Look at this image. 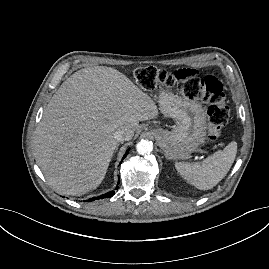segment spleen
Instances as JSON below:
<instances>
[{"label":"spleen","instance_id":"obj_1","mask_svg":"<svg viewBox=\"0 0 269 269\" xmlns=\"http://www.w3.org/2000/svg\"><path fill=\"white\" fill-rule=\"evenodd\" d=\"M237 154V143L232 141L223 150H218L201 163L176 162L178 173L200 190L216 186L229 172Z\"/></svg>","mask_w":269,"mask_h":269}]
</instances>
